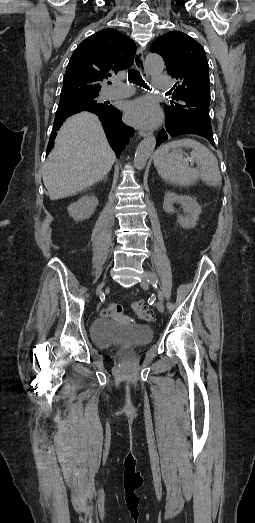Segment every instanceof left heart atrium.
<instances>
[{"label": "left heart atrium", "instance_id": "39dd6f15", "mask_svg": "<svg viewBox=\"0 0 255 523\" xmlns=\"http://www.w3.org/2000/svg\"><path fill=\"white\" fill-rule=\"evenodd\" d=\"M124 110L127 120L138 126H153L161 119L158 104L149 97L127 102Z\"/></svg>", "mask_w": 255, "mask_h": 523}]
</instances>
